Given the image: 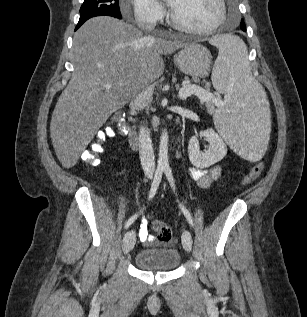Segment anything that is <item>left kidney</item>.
Here are the masks:
<instances>
[{
  "instance_id": "1",
  "label": "left kidney",
  "mask_w": 307,
  "mask_h": 317,
  "mask_svg": "<svg viewBox=\"0 0 307 317\" xmlns=\"http://www.w3.org/2000/svg\"><path fill=\"white\" fill-rule=\"evenodd\" d=\"M201 137L209 142L205 152L200 151L199 140L193 136L188 145V154L191 163L198 168H207L220 160L227 154V146L222 138L211 128L201 131Z\"/></svg>"
}]
</instances>
